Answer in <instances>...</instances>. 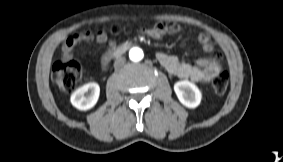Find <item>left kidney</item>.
<instances>
[{
    "label": "left kidney",
    "instance_id": "obj_1",
    "mask_svg": "<svg viewBox=\"0 0 283 162\" xmlns=\"http://www.w3.org/2000/svg\"><path fill=\"white\" fill-rule=\"evenodd\" d=\"M174 91L179 101L187 108H196L201 102L202 94L200 90L188 80L176 82Z\"/></svg>",
    "mask_w": 283,
    "mask_h": 162
}]
</instances>
